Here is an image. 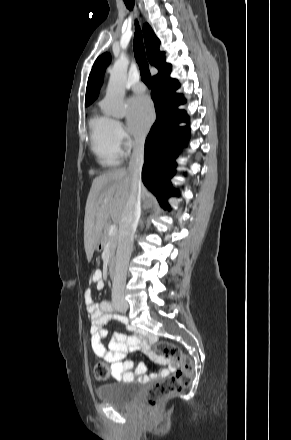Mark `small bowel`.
Wrapping results in <instances>:
<instances>
[{"instance_id": "obj_1", "label": "small bowel", "mask_w": 291, "mask_h": 440, "mask_svg": "<svg viewBox=\"0 0 291 440\" xmlns=\"http://www.w3.org/2000/svg\"><path fill=\"white\" fill-rule=\"evenodd\" d=\"M92 281L99 289L103 288L104 283L100 271H96L93 274ZM84 300L91 317V348L98 358L110 365L111 373L114 377L145 383L157 377L167 376L176 370L178 365L175 360L154 357L153 360L163 365V368L147 374L146 365L141 363L136 371L132 372L134 364L132 361L127 360L126 357L133 352L136 346H139L144 353H148L150 349L149 343L157 340L156 335L145 331H137L134 335L115 332L108 345H105L104 340L108 336V331L105 328L106 324L111 320L121 321V319L110 312V304L107 301L97 305L93 301L89 289L84 292Z\"/></svg>"}]
</instances>
